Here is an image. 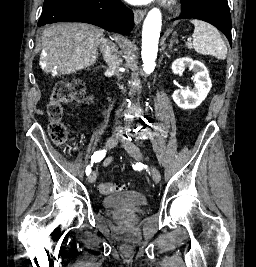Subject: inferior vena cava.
<instances>
[{"label": "inferior vena cava", "instance_id": "inferior-vena-cava-1", "mask_svg": "<svg viewBox=\"0 0 256 267\" xmlns=\"http://www.w3.org/2000/svg\"><path fill=\"white\" fill-rule=\"evenodd\" d=\"M100 50L103 54V58L106 64H108L109 66V70H111V72H115L119 80H121V74L120 72H118V68L122 60H120L119 56H117L118 50L115 44H111V42H107V40H103L100 46ZM121 88L122 90H124L123 86H121Z\"/></svg>", "mask_w": 256, "mask_h": 267}]
</instances>
